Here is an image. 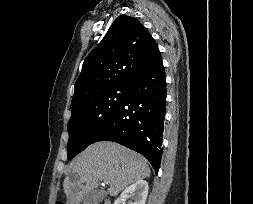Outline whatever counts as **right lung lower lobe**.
<instances>
[{
  "label": "right lung lower lobe",
  "mask_w": 253,
  "mask_h": 204,
  "mask_svg": "<svg viewBox=\"0 0 253 204\" xmlns=\"http://www.w3.org/2000/svg\"><path fill=\"white\" fill-rule=\"evenodd\" d=\"M165 80L158 51L129 83L124 101L94 142L113 141L124 145L145 156L157 173L163 152Z\"/></svg>",
  "instance_id": "right-lung-lower-lobe-1"
}]
</instances>
